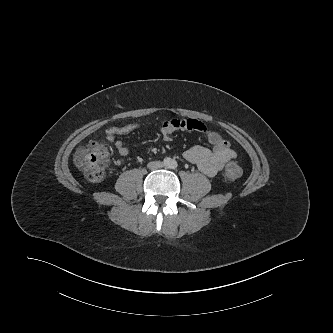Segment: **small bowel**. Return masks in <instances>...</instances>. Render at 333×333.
I'll list each match as a JSON object with an SVG mask.
<instances>
[{
    "label": "small bowel",
    "mask_w": 333,
    "mask_h": 333,
    "mask_svg": "<svg viewBox=\"0 0 333 333\" xmlns=\"http://www.w3.org/2000/svg\"><path fill=\"white\" fill-rule=\"evenodd\" d=\"M138 124L110 127L105 131L106 139L114 142L118 136L131 134L139 129ZM165 141H170L174 132L178 130L198 131L204 134L213 145L212 149L203 146H193L183 154L184 158L195 164L199 170L209 177L217 175L228 162L235 158V152L230 144L218 132L209 129L204 123L195 119L174 118L165 121L159 127ZM115 148L119 155L129 154L128 147L122 141H115Z\"/></svg>",
    "instance_id": "1"
}]
</instances>
